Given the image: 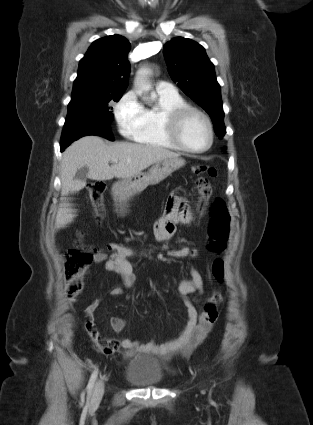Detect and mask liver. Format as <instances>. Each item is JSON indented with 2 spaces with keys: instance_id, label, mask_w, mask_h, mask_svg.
Segmentation results:
<instances>
[{
  "instance_id": "1",
  "label": "liver",
  "mask_w": 313,
  "mask_h": 425,
  "mask_svg": "<svg viewBox=\"0 0 313 425\" xmlns=\"http://www.w3.org/2000/svg\"><path fill=\"white\" fill-rule=\"evenodd\" d=\"M179 154L168 149L138 143L119 142L106 144L100 137L85 136L72 143L63 153L61 163V203L55 228L70 224L76 217L66 196L82 190L86 183L74 180L77 171L88 167L91 180H111L129 178L141 173L149 166L167 158H177ZM112 159L118 163L109 165Z\"/></svg>"
}]
</instances>
